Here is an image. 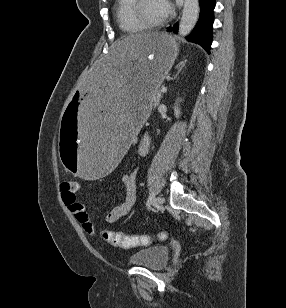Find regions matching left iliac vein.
Returning <instances> with one entry per match:
<instances>
[{"instance_id": "1", "label": "left iliac vein", "mask_w": 286, "mask_h": 308, "mask_svg": "<svg viewBox=\"0 0 286 308\" xmlns=\"http://www.w3.org/2000/svg\"><path fill=\"white\" fill-rule=\"evenodd\" d=\"M155 204L157 206H162L164 204V198L161 197V196H158L156 199H155Z\"/></svg>"}]
</instances>
